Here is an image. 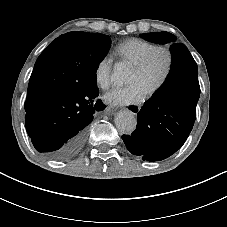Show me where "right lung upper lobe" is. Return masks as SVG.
<instances>
[{"mask_svg":"<svg viewBox=\"0 0 227 227\" xmlns=\"http://www.w3.org/2000/svg\"><path fill=\"white\" fill-rule=\"evenodd\" d=\"M70 79L71 74L65 70L35 63L28 85L25 111L31 112L47 95L66 90Z\"/></svg>","mask_w":227,"mask_h":227,"instance_id":"right-lung-upper-lobe-1","label":"right lung upper lobe"}]
</instances>
